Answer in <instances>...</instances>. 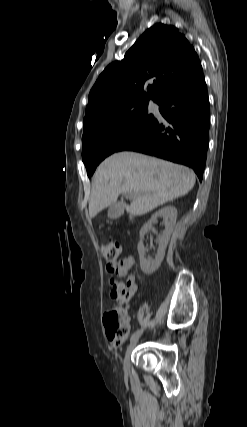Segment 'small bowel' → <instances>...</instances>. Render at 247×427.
Listing matches in <instances>:
<instances>
[{"label":"small bowel","mask_w":247,"mask_h":427,"mask_svg":"<svg viewBox=\"0 0 247 427\" xmlns=\"http://www.w3.org/2000/svg\"><path fill=\"white\" fill-rule=\"evenodd\" d=\"M134 263V256L129 255L117 263L106 265V271L109 274H115L117 277V279L110 278L109 284L111 286L110 296L118 305L126 303L137 291L136 277L131 272Z\"/></svg>","instance_id":"1"}]
</instances>
